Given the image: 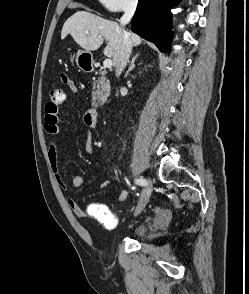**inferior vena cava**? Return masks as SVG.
I'll use <instances>...</instances> for the list:
<instances>
[{
  "mask_svg": "<svg viewBox=\"0 0 249 294\" xmlns=\"http://www.w3.org/2000/svg\"><path fill=\"white\" fill-rule=\"evenodd\" d=\"M136 6H137V0H133L130 4L127 5V7L124 10V15L120 19V23L122 24V26H125L131 21L135 13ZM132 45L133 44L129 34L126 31H124L121 49L117 57L116 65H115L116 67L115 72L117 77L121 75L122 71L124 70V68L126 67L128 63L129 57L132 52Z\"/></svg>",
  "mask_w": 249,
  "mask_h": 294,
  "instance_id": "obj_1",
  "label": "inferior vena cava"
}]
</instances>
